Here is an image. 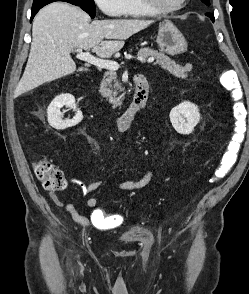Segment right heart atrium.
<instances>
[{
  "label": "right heart atrium",
  "mask_w": 249,
  "mask_h": 294,
  "mask_svg": "<svg viewBox=\"0 0 249 294\" xmlns=\"http://www.w3.org/2000/svg\"><path fill=\"white\" fill-rule=\"evenodd\" d=\"M99 9L108 16H118L121 0H94Z\"/></svg>",
  "instance_id": "right-heart-atrium-1"
}]
</instances>
